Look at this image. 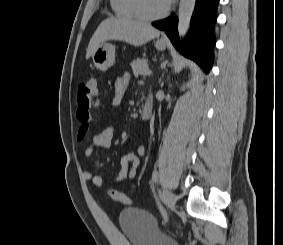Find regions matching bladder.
I'll return each instance as SVG.
<instances>
[{"label": "bladder", "mask_w": 283, "mask_h": 245, "mask_svg": "<svg viewBox=\"0 0 283 245\" xmlns=\"http://www.w3.org/2000/svg\"><path fill=\"white\" fill-rule=\"evenodd\" d=\"M118 223L131 245H179L161 230L155 217L143 209H123L119 213Z\"/></svg>", "instance_id": "bladder-1"}]
</instances>
